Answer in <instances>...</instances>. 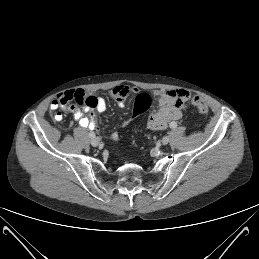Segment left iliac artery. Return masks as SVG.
Instances as JSON below:
<instances>
[{"label":"left iliac artery","mask_w":259,"mask_h":259,"mask_svg":"<svg viewBox=\"0 0 259 259\" xmlns=\"http://www.w3.org/2000/svg\"><path fill=\"white\" fill-rule=\"evenodd\" d=\"M177 127V123L176 122H171L170 123V128L174 129Z\"/></svg>","instance_id":"44dca946"}]
</instances>
